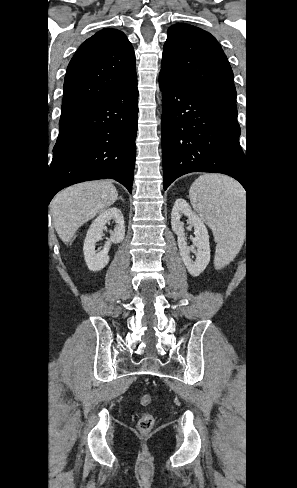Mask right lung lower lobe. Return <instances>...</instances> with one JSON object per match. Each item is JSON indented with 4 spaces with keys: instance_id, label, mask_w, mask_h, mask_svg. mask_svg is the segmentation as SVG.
Here are the masks:
<instances>
[{
    "instance_id": "1",
    "label": "right lung lower lobe",
    "mask_w": 297,
    "mask_h": 488,
    "mask_svg": "<svg viewBox=\"0 0 297 488\" xmlns=\"http://www.w3.org/2000/svg\"><path fill=\"white\" fill-rule=\"evenodd\" d=\"M138 120L137 76L60 119L49 168V202L75 183L114 179L132 191Z\"/></svg>"
}]
</instances>
